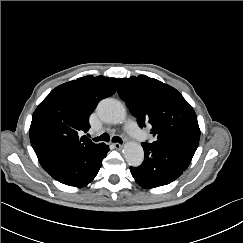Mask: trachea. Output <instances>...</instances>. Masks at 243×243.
Here are the masks:
<instances>
[{
    "label": "trachea",
    "instance_id": "obj_1",
    "mask_svg": "<svg viewBox=\"0 0 243 243\" xmlns=\"http://www.w3.org/2000/svg\"><path fill=\"white\" fill-rule=\"evenodd\" d=\"M96 141L109 142L110 136L108 133H103L101 136L94 138ZM112 142L122 144V139L118 136L112 138Z\"/></svg>",
    "mask_w": 243,
    "mask_h": 243
}]
</instances>
